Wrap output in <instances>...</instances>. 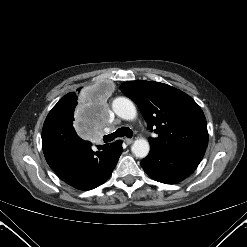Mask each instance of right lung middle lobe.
Returning <instances> with one entry per match:
<instances>
[{
	"label": "right lung middle lobe",
	"instance_id": "obj_1",
	"mask_svg": "<svg viewBox=\"0 0 247 247\" xmlns=\"http://www.w3.org/2000/svg\"><path fill=\"white\" fill-rule=\"evenodd\" d=\"M77 99L57 103L49 112L46 120H54L73 126L75 112L77 108Z\"/></svg>",
	"mask_w": 247,
	"mask_h": 247
}]
</instances>
